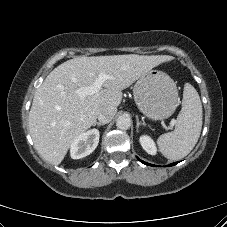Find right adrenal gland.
I'll return each mask as SVG.
<instances>
[{"label":"right adrenal gland","mask_w":227,"mask_h":227,"mask_svg":"<svg viewBox=\"0 0 227 227\" xmlns=\"http://www.w3.org/2000/svg\"><path fill=\"white\" fill-rule=\"evenodd\" d=\"M98 126V127H100V126H102V125H105V123H102V122H95L94 123V126Z\"/></svg>","instance_id":"1"}]
</instances>
